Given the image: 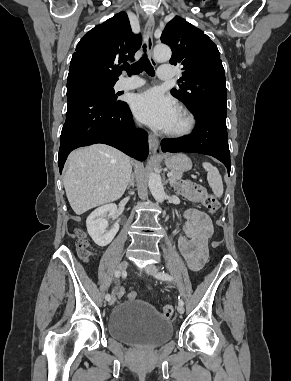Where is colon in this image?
<instances>
[{"label": "colon", "instance_id": "1", "mask_svg": "<svg viewBox=\"0 0 291 381\" xmlns=\"http://www.w3.org/2000/svg\"><path fill=\"white\" fill-rule=\"evenodd\" d=\"M178 192L186 198L188 201L193 203H201L210 214H216L219 210V201L217 198L208 193L206 188L200 184L191 182V181H182L177 187ZM78 251L82 259L88 260L93 256L89 241L82 232L78 233ZM217 242L213 243V246H216ZM119 296H124L123 290H118ZM128 299H136V292H129L127 294ZM174 307L170 304H167L162 309V316L170 319L173 316Z\"/></svg>", "mask_w": 291, "mask_h": 381}]
</instances>
